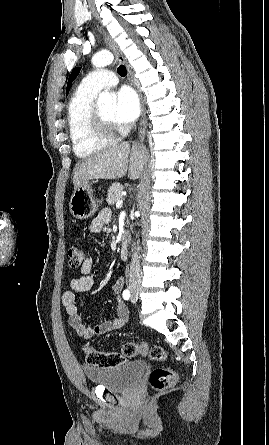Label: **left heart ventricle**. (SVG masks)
I'll return each instance as SVG.
<instances>
[{"label":"left heart ventricle","mask_w":269,"mask_h":445,"mask_svg":"<svg viewBox=\"0 0 269 445\" xmlns=\"http://www.w3.org/2000/svg\"><path fill=\"white\" fill-rule=\"evenodd\" d=\"M100 113L102 114L103 117H105L106 119L110 120V121H114V111L115 108L113 106H109L106 108H101L99 109Z\"/></svg>","instance_id":"obj_1"}]
</instances>
